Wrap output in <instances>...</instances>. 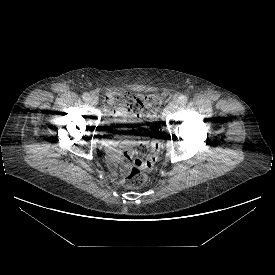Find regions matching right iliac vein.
<instances>
[{"mask_svg": "<svg viewBox=\"0 0 275 275\" xmlns=\"http://www.w3.org/2000/svg\"><path fill=\"white\" fill-rule=\"evenodd\" d=\"M88 101L92 106H96L98 104V99L95 96L90 97Z\"/></svg>", "mask_w": 275, "mask_h": 275, "instance_id": "obj_1", "label": "right iliac vein"}]
</instances>
